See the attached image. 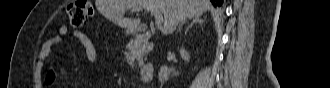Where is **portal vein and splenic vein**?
<instances>
[{
    "instance_id": "portal-vein-and-splenic-vein-1",
    "label": "portal vein and splenic vein",
    "mask_w": 330,
    "mask_h": 88,
    "mask_svg": "<svg viewBox=\"0 0 330 88\" xmlns=\"http://www.w3.org/2000/svg\"><path fill=\"white\" fill-rule=\"evenodd\" d=\"M135 11L138 9H134ZM150 13L151 15H153L155 17V25L157 28H161L162 27V23H163V16L162 14L157 10V9H150Z\"/></svg>"
}]
</instances>
